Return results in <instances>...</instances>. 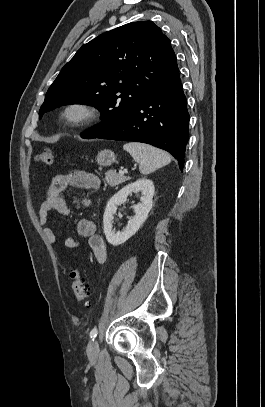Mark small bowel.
<instances>
[{"mask_svg": "<svg viewBox=\"0 0 265 407\" xmlns=\"http://www.w3.org/2000/svg\"><path fill=\"white\" fill-rule=\"evenodd\" d=\"M70 186L85 190H98L101 186L100 178L95 174L76 171L70 174L55 176L47 190L46 197L39 210V219L46 239L54 244L56 232L49 225V214L55 212L61 216L69 214V207L62 196ZM76 232L80 237L87 239V245L98 263L103 264L107 258V249L104 239L97 233L95 222L90 218H82L76 224ZM64 245L70 249H79L83 243L73 237H66Z\"/></svg>", "mask_w": 265, "mask_h": 407, "instance_id": "obj_1", "label": "small bowel"}]
</instances>
